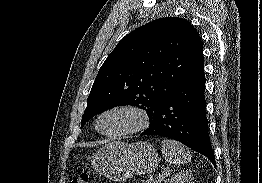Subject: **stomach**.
<instances>
[{"label":"stomach","instance_id":"1","mask_svg":"<svg viewBox=\"0 0 262 183\" xmlns=\"http://www.w3.org/2000/svg\"><path fill=\"white\" fill-rule=\"evenodd\" d=\"M159 164L157 150L148 142L113 141L100 148L91 165L101 175L124 181L134 175L149 174Z\"/></svg>","mask_w":262,"mask_h":183}]
</instances>
